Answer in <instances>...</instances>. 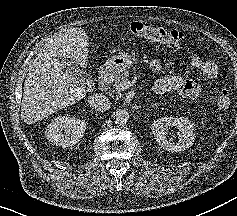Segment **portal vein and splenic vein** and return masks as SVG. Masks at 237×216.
<instances>
[{
    "label": "portal vein and splenic vein",
    "instance_id": "18ae733b",
    "mask_svg": "<svg viewBox=\"0 0 237 216\" xmlns=\"http://www.w3.org/2000/svg\"><path fill=\"white\" fill-rule=\"evenodd\" d=\"M130 84H131V83H130V81H128V80H126V81H120V82H118V84H117L116 87L126 89V88H129Z\"/></svg>",
    "mask_w": 237,
    "mask_h": 216
}]
</instances>
